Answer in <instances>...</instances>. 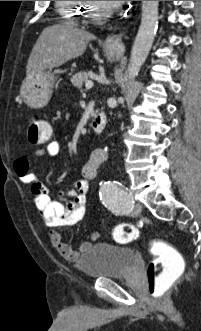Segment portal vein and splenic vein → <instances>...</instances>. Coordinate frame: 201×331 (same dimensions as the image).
I'll return each mask as SVG.
<instances>
[{
	"label": "portal vein and splenic vein",
	"instance_id": "18ae733b",
	"mask_svg": "<svg viewBox=\"0 0 201 331\" xmlns=\"http://www.w3.org/2000/svg\"><path fill=\"white\" fill-rule=\"evenodd\" d=\"M93 87V82L92 81H87L85 82V88L88 90V89H91Z\"/></svg>",
	"mask_w": 201,
	"mask_h": 331
}]
</instances>
